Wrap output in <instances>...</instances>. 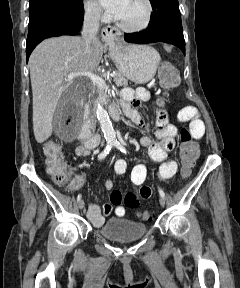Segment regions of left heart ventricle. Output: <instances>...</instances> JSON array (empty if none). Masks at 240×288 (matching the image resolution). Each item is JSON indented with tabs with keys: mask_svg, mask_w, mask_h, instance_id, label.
Returning a JSON list of instances; mask_svg holds the SVG:
<instances>
[{
	"mask_svg": "<svg viewBox=\"0 0 240 288\" xmlns=\"http://www.w3.org/2000/svg\"><path fill=\"white\" fill-rule=\"evenodd\" d=\"M146 15L147 7L143 0H129L120 20L130 26H138L144 22Z\"/></svg>",
	"mask_w": 240,
	"mask_h": 288,
	"instance_id": "b2bd125f",
	"label": "left heart ventricle"
}]
</instances>
